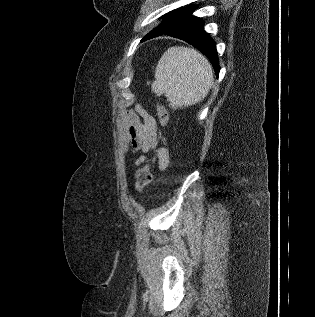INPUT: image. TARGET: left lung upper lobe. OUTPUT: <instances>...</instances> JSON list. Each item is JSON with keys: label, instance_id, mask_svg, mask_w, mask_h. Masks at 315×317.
Returning <instances> with one entry per match:
<instances>
[{"label": "left lung upper lobe", "instance_id": "obj_1", "mask_svg": "<svg viewBox=\"0 0 315 317\" xmlns=\"http://www.w3.org/2000/svg\"><path fill=\"white\" fill-rule=\"evenodd\" d=\"M193 6H186L182 7L176 10H173L172 12H169L165 15V20L158 25L156 28H154L152 31H150L141 41L148 40L150 37H155L158 35H161L166 30H168L180 17H182L190 8Z\"/></svg>", "mask_w": 315, "mask_h": 317}]
</instances>
